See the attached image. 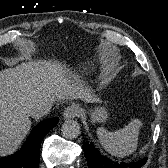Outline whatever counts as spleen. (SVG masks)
Here are the masks:
<instances>
[{
	"label": "spleen",
	"mask_w": 168,
	"mask_h": 168,
	"mask_svg": "<svg viewBox=\"0 0 168 168\" xmlns=\"http://www.w3.org/2000/svg\"><path fill=\"white\" fill-rule=\"evenodd\" d=\"M142 123L133 119L127 126L115 132L103 127L97 129L99 142L112 156L125 157L132 154L138 146L139 129Z\"/></svg>",
	"instance_id": "3e777b00"
}]
</instances>
